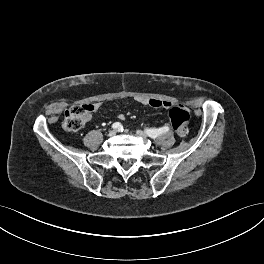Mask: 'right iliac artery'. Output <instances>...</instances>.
I'll return each instance as SVG.
<instances>
[{
  "instance_id": "obj_1",
  "label": "right iliac artery",
  "mask_w": 264,
  "mask_h": 264,
  "mask_svg": "<svg viewBox=\"0 0 264 264\" xmlns=\"http://www.w3.org/2000/svg\"><path fill=\"white\" fill-rule=\"evenodd\" d=\"M112 128L113 129H121L122 128V125L119 122H115V123H113Z\"/></svg>"
}]
</instances>
